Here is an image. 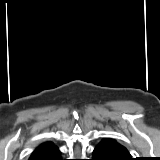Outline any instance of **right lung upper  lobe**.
Returning a JSON list of instances; mask_svg holds the SVG:
<instances>
[{"mask_svg": "<svg viewBox=\"0 0 160 160\" xmlns=\"http://www.w3.org/2000/svg\"><path fill=\"white\" fill-rule=\"evenodd\" d=\"M55 145L53 142H44L40 144L31 154L30 158L39 155L43 152H46L47 150L53 148Z\"/></svg>", "mask_w": 160, "mask_h": 160, "instance_id": "cb5924a9", "label": "right lung upper lobe"}]
</instances>
